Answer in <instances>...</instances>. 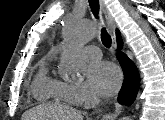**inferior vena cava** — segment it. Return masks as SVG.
I'll use <instances>...</instances> for the list:
<instances>
[{
  "mask_svg": "<svg viewBox=\"0 0 165 120\" xmlns=\"http://www.w3.org/2000/svg\"><path fill=\"white\" fill-rule=\"evenodd\" d=\"M98 102L99 99L96 96L90 95L85 103V108L94 107Z\"/></svg>",
  "mask_w": 165,
  "mask_h": 120,
  "instance_id": "602c4592",
  "label": "inferior vena cava"
}]
</instances>
